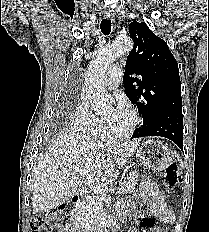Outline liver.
Segmentation results:
<instances>
[{
	"instance_id": "6515ba94",
	"label": "liver",
	"mask_w": 209,
	"mask_h": 232,
	"mask_svg": "<svg viewBox=\"0 0 209 232\" xmlns=\"http://www.w3.org/2000/svg\"><path fill=\"white\" fill-rule=\"evenodd\" d=\"M138 141H105L64 131L58 135L34 168L33 213L65 203L81 188L77 167H87L101 185L116 179Z\"/></svg>"
}]
</instances>
